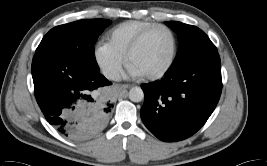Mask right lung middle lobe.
Instances as JSON below:
<instances>
[{
    "label": "right lung middle lobe",
    "instance_id": "1",
    "mask_svg": "<svg viewBox=\"0 0 267 166\" xmlns=\"http://www.w3.org/2000/svg\"><path fill=\"white\" fill-rule=\"evenodd\" d=\"M109 23L110 21L105 19H86L54 27L44 36L36 52L54 51L99 70L94 43Z\"/></svg>",
    "mask_w": 267,
    "mask_h": 166
}]
</instances>
